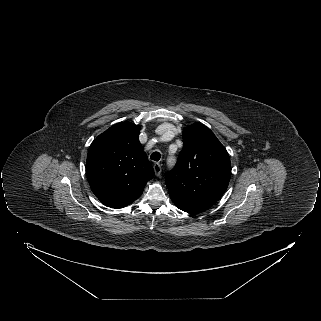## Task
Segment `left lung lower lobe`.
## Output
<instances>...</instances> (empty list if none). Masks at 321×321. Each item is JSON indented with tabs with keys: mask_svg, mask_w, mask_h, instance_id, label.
Wrapping results in <instances>:
<instances>
[{
	"mask_svg": "<svg viewBox=\"0 0 321 321\" xmlns=\"http://www.w3.org/2000/svg\"><path fill=\"white\" fill-rule=\"evenodd\" d=\"M174 204L180 209L183 210L187 213L190 214H198L206 211L208 208L207 207H202V206H197V205H191V204H186V203H181L178 201H175L172 199Z\"/></svg>",
	"mask_w": 321,
	"mask_h": 321,
	"instance_id": "left-lung-lower-lobe-1",
	"label": "left lung lower lobe"
}]
</instances>
